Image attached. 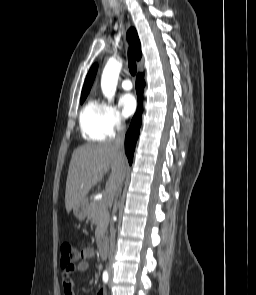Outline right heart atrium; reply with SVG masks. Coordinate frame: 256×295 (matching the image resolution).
<instances>
[{
  "label": "right heart atrium",
  "instance_id": "d8ad5b80",
  "mask_svg": "<svg viewBox=\"0 0 256 295\" xmlns=\"http://www.w3.org/2000/svg\"><path fill=\"white\" fill-rule=\"evenodd\" d=\"M105 124L110 136L124 128V119L120 111L113 105H105Z\"/></svg>",
  "mask_w": 256,
  "mask_h": 295
}]
</instances>
